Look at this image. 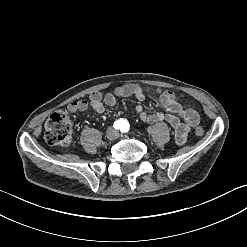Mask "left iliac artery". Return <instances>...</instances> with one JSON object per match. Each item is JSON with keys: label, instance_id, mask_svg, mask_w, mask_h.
<instances>
[{"label": "left iliac artery", "instance_id": "1", "mask_svg": "<svg viewBox=\"0 0 247 247\" xmlns=\"http://www.w3.org/2000/svg\"><path fill=\"white\" fill-rule=\"evenodd\" d=\"M129 127H130L129 123L127 121H124L122 123L121 132H123V133L128 132L129 131Z\"/></svg>", "mask_w": 247, "mask_h": 247}]
</instances>
